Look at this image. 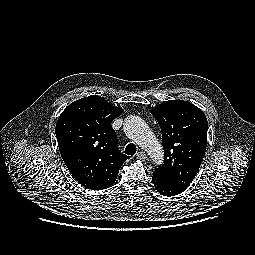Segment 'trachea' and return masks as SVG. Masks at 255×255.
Segmentation results:
<instances>
[{
  "label": "trachea",
  "mask_w": 255,
  "mask_h": 255,
  "mask_svg": "<svg viewBox=\"0 0 255 255\" xmlns=\"http://www.w3.org/2000/svg\"><path fill=\"white\" fill-rule=\"evenodd\" d=\"M137 151L136 145L133 143H130L125 148V154L127 155H134Z\"/></svg>",
  "instance_id": "1"
}]
</instances>
